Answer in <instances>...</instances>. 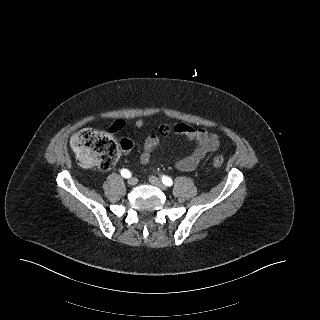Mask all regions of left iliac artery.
<instances>
[{"label": "left iliac artery", "mask_w": 320, "mask_h": 320, "mask_svg": "<svg viewBox=\"0 0 320 320\" xmlns=\"http://www.w3.org/2000/svg\"><path fill=\"white\" fill-rule=\"evenodd\" d=\"M162 182L166 185V186H171L173 184V181L170 177L168 176H162Z\"/></svg>", "instance_id": "left-iliac-artery-1"}]
</instances>
